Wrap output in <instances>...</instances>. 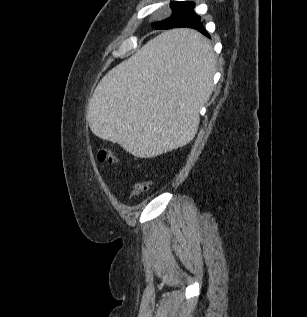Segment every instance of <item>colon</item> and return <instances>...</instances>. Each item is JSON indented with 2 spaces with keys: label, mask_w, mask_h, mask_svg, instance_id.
Instances as JSON below:
<instances>
[{
  "label": "colon",
  "mask_w": 307,
  "mask_h": 317,
  "mask_svg": "<svg viewBox=\"0 0 307 317\" xmlns=\"http://www.w3.org/2000/svg\"><path fill=\"white\" fill-rule=\"evenodd\" d=\"M97 159L101 163H106L109 165L116 164L118 162L117 157L113 153V151L109 148H100L97 151ZM152 186L151 180H145L139 183H136L130 192V197L137 196L143 192H146L149 190V188Z\"/></svg>",
  "instance_id": "obj_1"
}]
</instances>
